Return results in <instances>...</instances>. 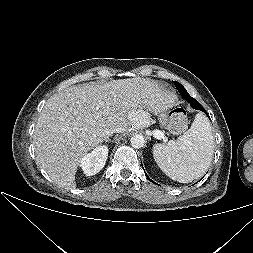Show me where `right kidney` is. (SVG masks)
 <instances>
[{
    "label": "right kidney",
    "mask_w": 253,
    "mask_h": 253,
    "mask_svg": "<svg viewBox=\"0 0 253 253\" xmlns=\"http://www.w3.org/2000/svg\"><path fill=\"white\" fill-rule=\"evenodd\" d=\"M108 151L107 146H98L81 159L80 166L87 176L97 174L104 167Z\"/></svg>",
    "instance_id": "1"
}]
</instances>
